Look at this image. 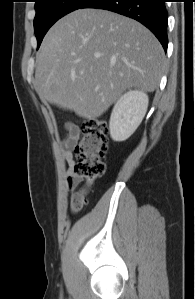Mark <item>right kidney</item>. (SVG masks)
<instances>
[{"instance_id": "right-kidney-1", "label": "right kidney", "mask_w": 195, "mask_h": 299, "mask_svg": "<svg viewBox=\"0 0 195 299\" xmlns=\"http://www.w3.org/2000/svg\"><path fill=\"white\" fill-rule=\"evenodd\" d=\"M148 102V95L140 90H130L119 97L109 121L114 141H124L134 133L146 114Z\"/></svg>"}]
</instances>
